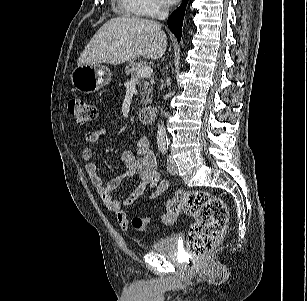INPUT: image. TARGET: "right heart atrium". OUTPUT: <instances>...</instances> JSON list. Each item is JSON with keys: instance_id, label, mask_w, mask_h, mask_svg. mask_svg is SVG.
Here are the masks:
<instances>
[{"instance_id": "obj_1", "label": "right heart atrium", "mask_w": 307, "mask_h": 301, "mask_svg": "<svg viewBox=\"0 0 307 301\" xmlns=\"http://www.w3.org/2000/svg\"><path fill=\"white\" fill-rule=\"evenodd\" d=\"M136 5L140 15L154 18L166 11L163 0H136Z\"/></svg>"}]
</instances>
